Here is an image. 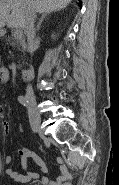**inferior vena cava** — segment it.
<instances>
[{"instance_id": "obj_1", "label": "inferior vena cava", "mask_w": 119, "mask_h": 185, "mask_svg": "<svg viewBox=\"0 0 119 185\" xmlns=\"http://www.w3.org/2000/svg\"><path fill=\"white\" fill-rule=\"evenodd\" d=\"M35 17H36L35 12L32 9L27 8L25 12L24 29L28 41V50L31 54L34 52L35 47V35H36V30L34 27ZM26 97L34 98L33 89L30 85L27 86Z\"/></svg>"}]
</instances>
